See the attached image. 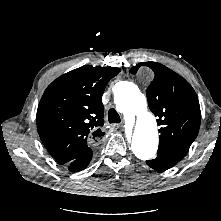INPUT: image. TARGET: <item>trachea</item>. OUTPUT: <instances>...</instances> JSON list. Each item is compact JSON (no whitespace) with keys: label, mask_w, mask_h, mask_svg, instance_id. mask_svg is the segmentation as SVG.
Masks as SVG:
<instances>
[{"label":"trachea","mask_w":221,"mask_h":221,"mask_svg":"<svg viewBox=\"0 0 221 221\" xmlns=\"http://www.w3.org/2000/svg\"><path fill=\"white\" fill-rule=\"evenodd\" d=\"M108 121H109V123H120L121 122L120 116L114 108H111L108 111Z\"/></svg>","instance_id":"obj_1"}]
</instances>
